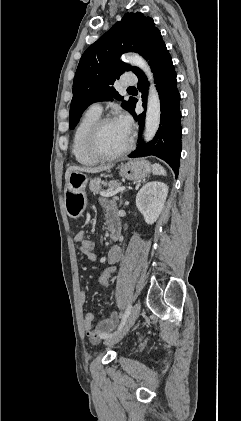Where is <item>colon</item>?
Returning a JSON list of instances; mask_svg holds the SVG:
<instances>
[{
    "instance_id": "5ec220e1",
    "label": "colon",
    "mask_w": 241,
    "mask_h": 421,
    "mask_svg": "<svg viewBox=\"0 0 241 421\" xmlns=\"http://www.w3.org/2000/svg\"><path fill=\"white\" fill-rule=\"evenodd\" d=\"M96 247V243L92 239H85L81 244L80 248L82 252H93ZM116 268L114 265L105 268L99 277V281L104 288H109L112 284Z\"/></svg>"
}]
</instances>
